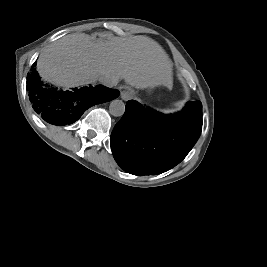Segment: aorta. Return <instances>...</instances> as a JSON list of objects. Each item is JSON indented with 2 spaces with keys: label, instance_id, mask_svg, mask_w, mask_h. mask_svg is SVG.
Segmentation results:
<instances>
[{
  "label": "aorta",
  "instance_id": "aorta-1",
  "mask_svg": "<svg viewBox=\"0 0 267 267\" xmlns=\"http://www.w3.org/2000/svg\"><path fill=\"white\" fill-rule=\"evenodd\" d=\"M125 112V104L122 100L115 99L110 103L109 113L114 117H120Z\"/></svg>",
  "mask_w": 267,
  "mask_h": 267
}]
</instances>
